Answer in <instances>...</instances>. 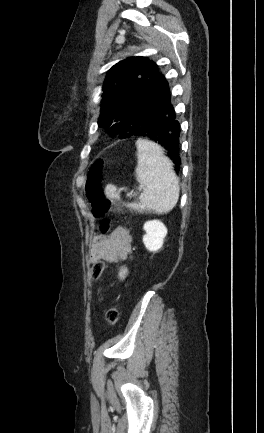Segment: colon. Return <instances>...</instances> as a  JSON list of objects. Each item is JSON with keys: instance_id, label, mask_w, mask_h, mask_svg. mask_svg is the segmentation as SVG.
I'll list each match as a JSON object with an SVG mask.
<instances>
[{"instance_id": "1", "label": "colon", "mask_w": 264, "mask_h": 433, "mask_svg": "<svg viewBox=\"0 0 264 433\" xmlns=\"http://www.w3.org/2000/svg\"><path fill=\"white\" fill-rule=\"evenodd\" d=\"M105 161L101 158L97 159L91 166L88 181L86 185V195L91 203L92 213L97 217H102L112 211H117L113 203L108 200L103 192V170ZM113 225L111 219H105L100 225V230L103 234L109 233ZM105 269V263L102 260L96 261L90 268V277L92 280H97ZM116 274L121 281H125L128 277V269L124 265L116 267ZM119 318V310L116 304L111 305L105 312V320L109 326L117 323Z\"/></svg>"}]
</instances>
